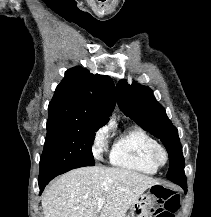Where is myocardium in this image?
<instances>
[{"mask_svg": "<svg viewBox=\"0 0 211 217\" xmlns=\"http://www.w3.org/2000/svg\"><path fill=\"white\" fill-rule=\"evenodd\" d=\"M150 160L157 168L165 166L169 161V154L165 147L156 145L150 151Z\"/></svg>", "mask_w": 211, "mask_h": 217, "instance_id": "f54148a6", "label": "myocardium"}]
</instances>
